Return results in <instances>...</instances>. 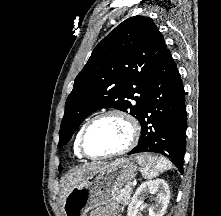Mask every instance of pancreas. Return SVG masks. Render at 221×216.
Wrapping results in <instances>:
<instances>
[{"mask_svg":"<svg viewBox=\"0 0 221 216\" xmlns=\"http://www.w3.org/2000/svg\"><path fill=\"white\" fill-rule=\"evenodd\" d=\"M131 193H132V187L130 184H127L125 185L124 188H122L119 191V193L115 197V200L117 201V203L126 205L130 201Z\"/></svg>","mask_w":221,"mask_h":216,"instance_id":"1","label":"pancreas"}]
</instances>
